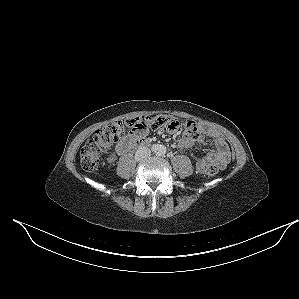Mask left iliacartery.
<instances>
[{"instance_id": "1", "label": "left iliac artery", "mask_w": 299, "mask_h": 299, "mask_svg": "<svg viewBox=\"0 0 299 299\" xmlns=\"http://www.w3.org/2000/svg\"><path fill=\"white\" fill-rule=\"evenodd\" d=\"M165 151L163 149L160 150L159 155H163Z\"/></svg>"}]
</instances>
